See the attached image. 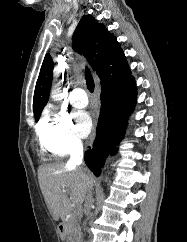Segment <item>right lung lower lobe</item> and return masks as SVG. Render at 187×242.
Listing matches in <instances>:
<instances>
[{"label":"right lung lower lobe","mask_w":187,"mask_h":242,"mask_svg":"<svg viewBox=\"0 0 187 242\" xmlns=\"http://www.w3.org/2000/svg\"><path fill=\"white\" fill-rule=\"evenodd\" d=\"M136 83L130 74L101 87V111L96 139L84 160L90 170L99 176L109 154L117 151L116 145L123 137L125 118L133 111L137 98Z\"/></svg>","instance_id":"obj_1"}]
</instances>
